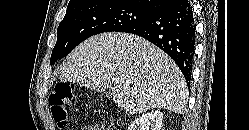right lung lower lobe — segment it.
Returning <instances> with one entry per match:
<instances>
[{
	"instance_id": "1",
	"label": "right lung lower lobe",
	"mask_w": 249,
	"mask_h": 130,
	"mask_svg": "<svg viewBox=\"0 0 249 130\" xmlns=\"http://www.w3.org/2000/svg\"><path fill=\"white\" fill-rule=\"evenodd\" d=\"M121 32L139 35L161 48L176 62L190 86L195 23L189 1L173 0L148 19Z\"/></svg>"
}]
</instances>
